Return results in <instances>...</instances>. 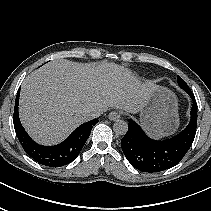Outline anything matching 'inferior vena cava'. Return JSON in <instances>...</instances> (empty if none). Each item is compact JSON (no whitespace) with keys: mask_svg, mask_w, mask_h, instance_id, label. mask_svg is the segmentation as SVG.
<instances>
[{"mask_svg":"<svg viewBox=\"0 0 211 211\" xmlns=\"http://www.w3.org/2000/svg\"><path fill=\"white\" fill-rule=\"evenodd\" d=\"M102 113V111L101 110H91V111H89L88 113H87V116H89L91 119L92 118H96V117H98V116H100V114Z\"/></svg>","mask_w":211,"mask_h":211,"instance_id":"obj_1","label":"inferior vena cava"}]
</instances>
